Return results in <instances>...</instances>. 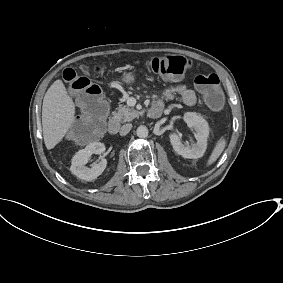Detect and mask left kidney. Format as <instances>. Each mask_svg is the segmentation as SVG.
I'll list each match as a JSON object with an SVG mask.
<instances>
[{"label":"left kidney","instance_id":"1","mask_svg":"<svg viewBox=\"0 0 283 283\" xmlns=\"http://www.w3.org/2000/svg\"><path fill=\"white\" fill-rule=\"evenodd\" d=\"M184 121L188 127L194 128L196 131L195 138L197 142L191 145H184L180 137L176 133H173L169 136L173 149L184 158H200L204 155L207 148V138L209 136L208 122L196 112L185 113Z\"/></svg>","mask_w":283,"mask_h":283}]
</instances>
